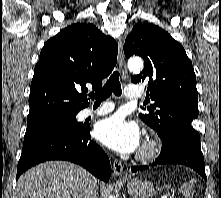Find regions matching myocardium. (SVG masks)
Here are the masks:
<instances>
[{"label": "myocardium", "mask_w": 221, "mask_h": 198, "mask_svg": "<svg viewBox=\"0 0 221 198\" xmlns=\"http://www.w3.org/2000/svg\"><path fill=\"white\" fill-rule=\"evenodd\" d=\"M160 149V140L154 135H148L138 151L137 159L143 162L152 160L158 155Z\"/></svg>", "instance_id": "myocardium-1"}]
</instances>
